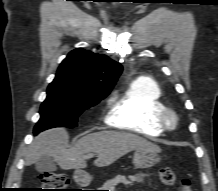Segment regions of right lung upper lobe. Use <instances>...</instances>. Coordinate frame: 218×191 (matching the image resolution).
<instances>
[{
  "label": "right lung upper lobe",
  "mask_w": 218,
  "mask_h": 191,
  "mask_svg": "<svg viewBox=\"0 0 218 191\" xmlns=\"http://www.w3.org/2000/svg\"><path fill=\"white\" fill-rule=\"evenodd\" d=\"M121 72V64L109 57L77 48L62 61L54 80L82 94H109Z\"/></svg>",
  "instance_id": "1"
}]
</instances>
